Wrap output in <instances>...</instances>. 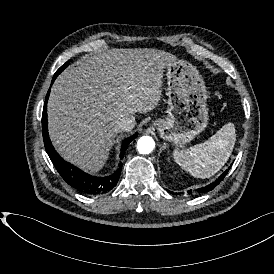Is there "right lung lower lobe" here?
Wrapping results in <instances>:
<instances>
[{
    "label": "right lung lower lobe",
    "mask_w": 274,
    "mask_h": 274,
    "mask_svg": "<svg viewBox=\"0 0 274 274\" xmlns=\"http://www.w3.org/2000/svg\"><path fill=\"white\" fill-rule=\"evenodd\" d=\"M59 74L57 72L54 74L51 85L53 84L54 80ZM50 89L45 98V103L43 107V114H42V132H43V139L45 144V149L50 157L52 163L56 167L57 171L61 175V177L66 181L70 186L75 188L81 193L87 195H99L104 194L111 190L118 182L121 170H122V163H120L119 168L116 172L107 177H95L89 174H86L82 170L78 169L77 167L73 166L72 164L66 162L61 158L57 152L55 151L52 143L50 141L48 135V126H47V101L49 97ZM138 133L126 138L123 141L121 155L120 157L123 158L125 149L127 148L128 144L137 137Z\"/></svg>",
    "instance_id": "obj_1"
}]
</instances>
